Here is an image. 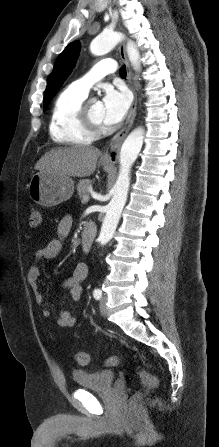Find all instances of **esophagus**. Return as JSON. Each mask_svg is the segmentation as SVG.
Segmentation results:
<instances>
[{
	"label": "esophagus",
	"mask_w": 219,
	"mask_h": 447,
	"mask_svg": "<svg viewBox=\"0 0 219 447\" xmlns=\"http://www.w3.org/2000/svg\"><path fill=\"white\" fill-rule=\"evenodd\" d=\"M119 53H120V57L121 59L124 61L126 68H127V79H128V83L129 86L134 94V100L133 103L131 105V109L130 112L128 114V117L126 119V122L124 124V126L122 127L121 130H119L111 139L109 145L107 146V148L105 149L103 155H102V159L103 161L110 163V164H115L118 160L119 157V152H120V147L125 139V137L127 136L128 132L130 131L133 122L135 120L136 117V108H137V93L136 90L133 86L132 83V74H131V69H130V65H129V61L127 59V55H126V50H125V43L122 42L119 46Z\"/></svg>",
	"instance_id": "obj_1"
}]
</instances>
